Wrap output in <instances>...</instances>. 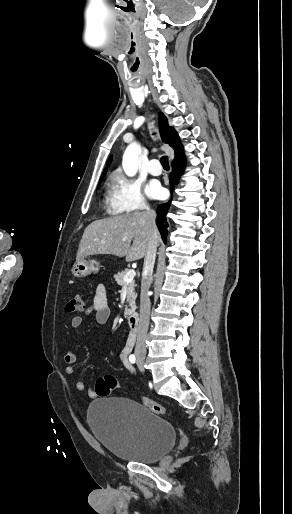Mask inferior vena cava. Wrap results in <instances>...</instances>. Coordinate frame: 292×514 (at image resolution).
Masks as SVG:
<instances>
[{"label":"inferior vena cava","mask_w":292,"mask_h":514,"mask_svg":"<svg viewBox=\"0 0 292 514\" xmlns=\"http://www.w3.org/2000/svg\"><path fill=\"white\" fill-rule=\"evenodd\" d=\"M148 214V248L146 252V256L144 258V266H143V274H142V282H141V294H140V320L139 326L137 330V342L135 348L136 356L139 354H146L145 348V340L146 334L148 332L149 320H150V300L148 296L154 262L156 258V250H157V230L155 224L156 214L153 210H147Z\"/></svg>","instance_id":"inferior-vena-cava-1"}]
</instances>
